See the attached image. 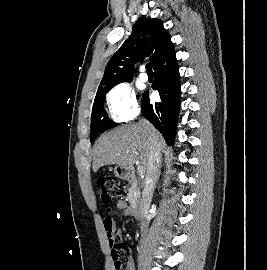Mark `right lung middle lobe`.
<instances>
[{
	"mask_svg": "<svg viewBox=\"0 0 267 270\" xmlns=\"http://www.w3.org/2000/svg\"><path fill=\"white\" fill-rule=\"evenodd\" d=\"M110 89L111 88L102 90L96 94L91 115V142H93L100 133L117 125V123L109 119L104 110L105 95Z\"/></svg>",
	"mask_w": 267,
	"mask_h": 270,
	"instance_id": "dd1d6c3e",
	"label": "right lung middle lobe"
}]
</instances>
